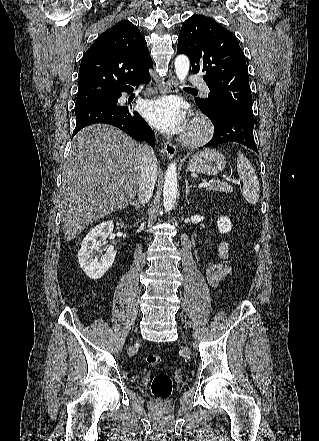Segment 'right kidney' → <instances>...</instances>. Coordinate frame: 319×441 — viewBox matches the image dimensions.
Instances as JSON below:
<instances>
[{"label": "right kidney", "mask_w": 319, "mask_h": 441, "mask_svg": "<svg viewBox=\"0 0 319 441\" xmlns=\"http://www.w3.org/2000/svg\"><path fill=\"white\" fill-rule=\"evenodd\" d=\"M113 229V221H104L92 228L82 240L78 260L80 267L90 279L101 278L114 262L116 256L114 250L107 251L100 261L95 256V252H102V246L105 245L106 239Z\"/></svg>", "instance_id": "ca27d5eb"}]
</instances>
